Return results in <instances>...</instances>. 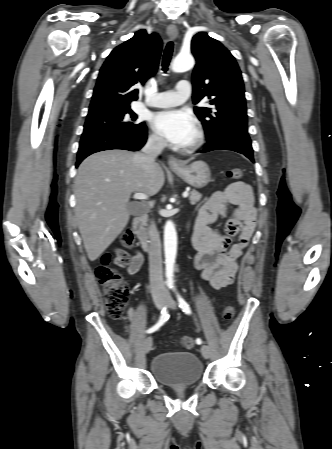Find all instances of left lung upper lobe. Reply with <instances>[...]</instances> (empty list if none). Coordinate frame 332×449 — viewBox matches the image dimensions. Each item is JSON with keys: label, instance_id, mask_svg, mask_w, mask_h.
<instances>
[{"label": "left lung upper lobe", "instance_id": "1", "mask_svg": "<svg viewBox=\"0 0 332 449\" xmlns=\"http://www.w3.org/2000/svg\"><path fill=\"white\" fill-rule=\"evenodd\" d=\"M191 49L196 59L192 74L193 103L208 97L211 105L194 109L208 140L229 130L247 131L244 84L235 58L205 32L193 37Z\"/></svg>", "mask_w": 332, "mask_h": 449}]
</instances>
